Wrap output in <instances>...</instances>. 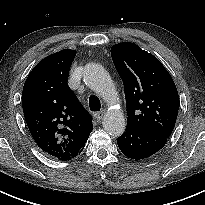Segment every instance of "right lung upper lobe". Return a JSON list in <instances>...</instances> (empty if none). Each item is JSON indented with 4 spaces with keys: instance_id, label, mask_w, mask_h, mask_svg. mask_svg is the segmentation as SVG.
I'll use <instances>...</instances> for the list:
<instances>
[{
    "instance_id": "cb5924a9",
    "label": "right lung upper lobe",
    "mask_w": 205,
    "mask_h": 205,
    "mask_svg": "<svg viewBox=\"0 0 205 205\" xmlns=\"http://www.w3.org/2000/svg\"><path fill=\"white\" fill-rule=\"evenodd\" d=\"M76 51L64 49L41 60L28 75L22 105L29 131L37 145L61 161L75 158L93 125L67 84Z\"/></svg>"
}]
</instances>
